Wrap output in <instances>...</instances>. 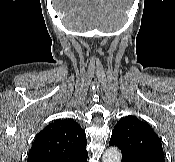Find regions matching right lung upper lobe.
<instances>
[{"label": "right lung upper lobe", "mask_w": 175, "mask_h": 162, "mask_svg": "<svg viewBox=\"0 0 175 162\" xmlns=\"http://www.w3.org/2000/svg\"><path fill=\"white\" fill-rule=\"evenodd\" d=\"M86 134L73 119L57 120L37 135L27 162H79L88 156Z\"/></svg>", "instance_id": "1"}]
</instances>
